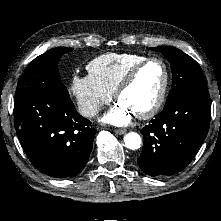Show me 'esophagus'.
I'll use <instances>...</instances> for the list:
<instances>
[{
    "label": "esophagus",
    "instance_id": "1",
    "mask_svg": "<svg viewBox=\"0 0 221 221\" xmlns=\"http://www.w3.org/2000/svg\"><path fill=\"white\" fill-rule=\"evenodd\" d=\"M114 132L119 135H123L126 133L125 129H115Z\"/></svg>",
    "mask_w": 221,
    "mask_h": 221
}]
</instances>
